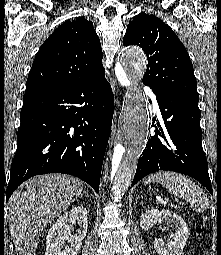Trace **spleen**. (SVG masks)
<instances>
[{
    "instance_id": "spleen-1",
    "label": "spleen",
    "mask_w": 221,
    "mask_h": 255,
    "mask_svg": "<svg viewBox=\"0 0 221 255\" xmlns=\"http://www.w3.org/2000/svg\"><path fill=\"white\" fill-rule=\"evenodd\" d=\"M151 182H159L169 192L189 201L194 211L203 212L208 208V199L204 192L186 176L169 171L158 172L150 175L144 183Z\"/></svg>"
}]
</instances>
